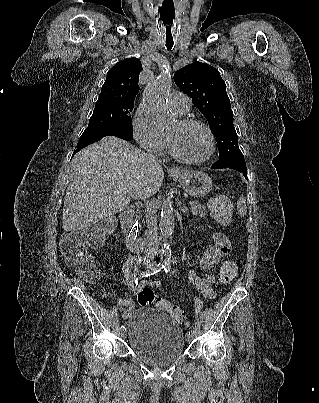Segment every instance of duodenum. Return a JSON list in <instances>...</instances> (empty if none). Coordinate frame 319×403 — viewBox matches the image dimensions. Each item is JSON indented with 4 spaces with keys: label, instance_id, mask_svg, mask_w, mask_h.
Instances as JSON below:
<instances>
[{
    "label": "duodenum",
    "instance_id": "1",
    "mask_svg": "<svg viewBox=\"0 0 319 403\" xmlns=\"http://www.w3.org/2000/svg\"><path fill=\"white\" fill-rule=\"evenodd\" d=\"M135 209L127 206L120 215L121 227L126 237V243L130 250L141 252L145 248V240L138 234V228L134 224Z\"/></svg>",
    "mask_w": 319,
    "mask_h": 403
}]
</instances>
